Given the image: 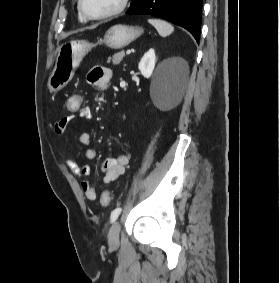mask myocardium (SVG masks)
<instances>
[{
  "label": "myocardium",
  "instance_id": "myocardium-1",
  "mask_svg": "<svg viewBox=\"0 0 280 283\" xmlns=\"http://www.w3.org/2000/svg\"><path fill=\"white\" fill-rule=\"evenodd\" d=\"M128 3L129 0H120L118 6L113 10L100 15H91L87 13L86 10L84 9L83 0H78V10L86 20L96 21V20L108 19L122 13L128 6Z\"/></svg>",
  "mask_w": 280,
  "mask_h": 283
}]
</instances>
